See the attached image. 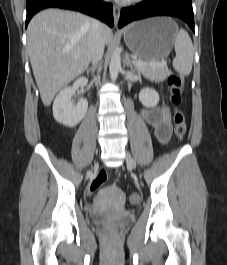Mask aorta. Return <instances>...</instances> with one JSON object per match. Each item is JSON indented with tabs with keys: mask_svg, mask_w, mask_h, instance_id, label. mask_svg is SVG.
Instances as JSON below:
<instances>
[{
	"mask_svg": "<svg viewBox=\"0 0 227 265\" xmlns=\"http://www.w3.org/2000/svg\"><path fill=\"white\" fill-rule=\"evenodd\" d=\"M121 69V58L120 53L116 50L111 56V61L109 65L110 78L115 81L118 77L119 70Z\"/></svg>",
	"mask_w": 227,
	"mask_h": 265,
	"instance_id": "aorta-1",
	"label": "aorta"
}]
</instances>
